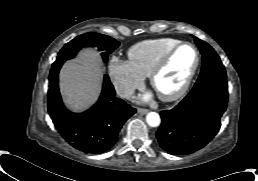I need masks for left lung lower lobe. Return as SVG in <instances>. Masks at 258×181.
Here are the masks:
<instances>
[{
  "label": "left lung lower lobe",
  "mask_w": 258,
  "mask_h": 181,
  "mask_svg": "<svg viewBox=\"0 0 258 181\" xmlns=\"http://www.w3.org/2000/svg\"><path fill=\"white\" fill-rule=\"evenodd\" d=\"M227 101L226 78L196 83L177 106L160 112L162 123L156 132L160 147L172 155H188L206 146L220 129Z\"/></svg>",
  "instance_id": "0a47b994"
}]
</instances>
